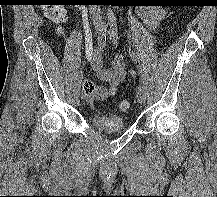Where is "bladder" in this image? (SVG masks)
I'll list each match as a JSON object with an SVG mask.
<instances>
[{
  "label": "bladder",
  "mask_w": 217,
  "mask_h": 197,
  "mask_svg": "<svg viewBox=\"0 0 217 197\" xmlns=\"http://www.w3.org/2000/svg\"><path fill=\"white\" fill-rule=\"evenodd\" d=\"M91 123L96 130L106 134H116L127 130L124 119L119 115L96 116L91 119Z\"/></svg>",
  "instance_id": "obj_1"
}]
</instances>
